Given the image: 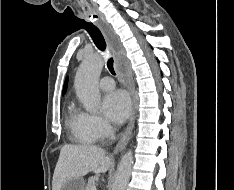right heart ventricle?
<instances>
[{
  "label": "right heart ventricle",
  "instance_id": "1",
  "mask_svg": "<svg viewBox=\"0 0 234 190\" xmlns=\"http://www.w3.org/2000/svg\"><path fill=\"white\" fill-rule=\"evenodd\" d=\"M66 125L72 140L75 142L93 144L98 140L86 124L83 113L73 104H70L67 108Z\"/></svg>",
  "mask_w": 234,
  "mask_h": 190
}]
</instances>
